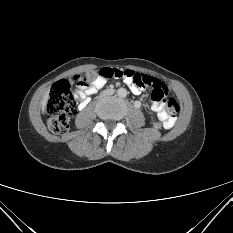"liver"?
Returning a JSON list of instances; mask_svg holds the SVG:
<instances>
[{
  "label": "liver",
  "instance_id": "6515ba94",
  "mask_svg": "<svg viewBox=\"0 0 233 233\" xmlns=\"http://www.w3.org/2000/svg\"><path fill=\"white\" fill-rule=\"evenodd\" d=\"M48 96H49V94H48V92L45 94V96L43 97V101H42V109L44 110V108H45V106H46V102H47V100H48Z\"/></svg>",
  "mask_w": 233,
  "mask_h": 233
}]
</instances>
